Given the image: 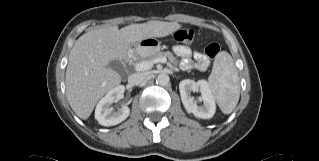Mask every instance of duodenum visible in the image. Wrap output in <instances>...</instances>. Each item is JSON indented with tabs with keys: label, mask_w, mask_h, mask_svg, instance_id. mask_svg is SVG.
<instances>
[{
	"label": "duodenum",
	"mask_w": 319,
	"mask_h": 161,
	"mask_svg": "<svg viewBox=\"0 0 319 161\" xmlns=\"http://www.w3.org/2000/svg\"><path fill=\"white\" fill-rule=\"evenodd\" d=\"M127 59V57H124V60H126Z\"/></svg>",
	"instance_id": "obj_1"
}]
</instances>
